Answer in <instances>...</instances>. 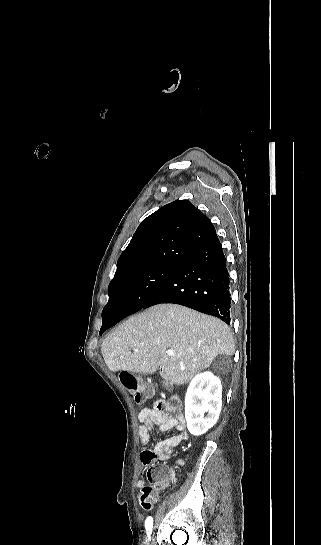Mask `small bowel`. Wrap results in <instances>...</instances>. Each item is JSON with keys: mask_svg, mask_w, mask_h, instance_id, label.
Here are the masks:
<instances>
[{"mask_svg": "<svg viewBox=\"0 0 321 545\" xmlns=\"http://www.w3.org/2000/svg\"><path fill=\"white\" fill-rule=\"evenodd\" d=\"M138 419L140 422L138 435L143 445L148 443L149 432L155 427L161 432L175 431L173 435L155 445L152 457H149L146 452L141 454V463L144 467L148 468L147 478L149 481L153 482L155 473L162 471L163 482H174L176 474L173 466H168L164 463L171 459L173 448L188 439L186 424L176 403L174 401L155 402L152 407L142 409L138 415ZM157 460L163 464L156 465ZM174 465L182 467L184 461L180 458L176 459ZM145 484L144 479L137 481L138 488H143Z\"/></svg>", "mask_w": 321, "mask_h": 545, "instance_id": "obj_1", "label": "small bowel"}]
</instances>
